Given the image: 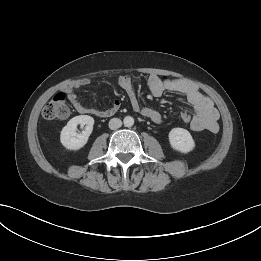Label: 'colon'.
I'll return each instance as SVG.
<instances>
[{
  "instance_id": "5ec220e1",
  "label": "colon",
  "mask_w": 261,
  "mask_h": 261,
  "mask_svg": "<svg viewBox=\"0 0 261 261\" xmlns=\"http://www.w3.org/2000/svg\"><path fill=\"white\" fill-rule=\"evenodd\" d=\"M70 108L66 102V95L62 92L57 93L53 99L47 103L43 109L42 115L48 120H65L70 116ZM182 120L190 122L191 116L187 113L181 115Z\"/></svg>"
}]
</instances>
